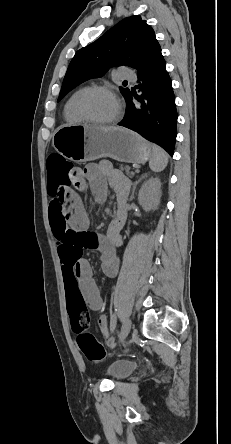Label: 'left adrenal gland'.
I'll return each mask as SVG.
<instances>
[{
	"instance_id": "1",
	"label": "left adrenal gland",
	"mask_w": 231,
	"mask_h": 444,
	"mask_svg": "<svg viewBox=\"0 0 231 444\" xmlns=\"http://www.w3.org/2000/svg\"><path fill=\"white\" fill-rule=\"evenodd\" d=\"M147 175H148V174H144V175H142L138 180H136V181L133 183L132 194H131V196H130V198H129V201H132L133 198H134V192H135V189H136V185H137L142 179H144L145 177H147Z\"/></svg>"
}]
</instances>
